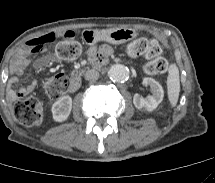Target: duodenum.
I'll list each match as a JSON object with an SVG mask.
<instances>
[{"label":"duodenum","mask_w":215,"mask_h":183,"mask_svg":"<svg viewBox=\"0 0 215 183\" xmlns=\"http://www.w3.org/2000/svg\"><path fill=\"white\" fill-rule=\"evenodd\" d=\"M96 64L98 65H103L104 62L103 61H99L98 59L95 60ZM81 85V80L79 76H74L70 82H69V86H68V90L70 92H74L76 90H78L80 88Z\"/></svg>","instance_id":"duodenum-1"}]
</instances>
